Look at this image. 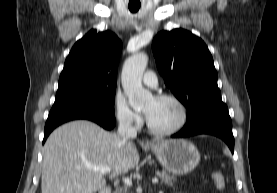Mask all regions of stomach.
I'll return each mask as SVG.
<instances>
[{
	"mask_svg": "<svg viewBox=\"0 0 277 193\" xmlns=\"http://www.w3.org/2000/svg\"><path fill=\"white\" fill-rule=\"evenodd\" d=\"M150 148L163 168L175 175L191 172L200 161L196 146L184 139L153 142Z\"/></svg>",
	"mask_w": 277,
	"mask_h": 193,
	"instance_id": "stomach-1",
	"label": "stomach"
}]
</instances>
